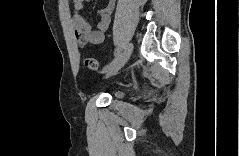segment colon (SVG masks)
Instances as JSON below:
<instances>
[{
	"instance_id": "1",
	"label": "colon",
	"mask_w": 239,
	"mask_h": 156,
	"mask_svg": "<svg viewBox=\"0 0 239 156\" xmlns=\"http://www.w3.org/2000/svg\"><path fill=\"white\" fill-rule=\"evenodd\" d=\"M84 65L90 70H93V71L99 70V64L97 60H95L94 58H86L84 60Z\"/></svg>"
}]
</instances>
